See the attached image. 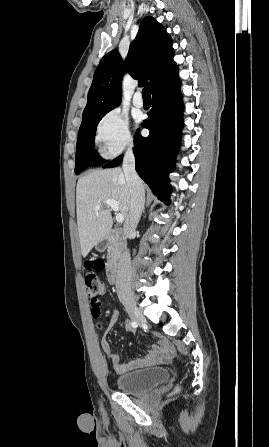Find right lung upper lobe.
Instances as JSON below:
<instances>
[{"mask_svg": "<svg viewBox=\"0 0 269 447\" xmlns=\"http://www.w3.org/2000/svg\"><path fill=\"white\" fill-rule=\"evenodd\" d=\"M172 39L153 17H145L138 34L130 44L123 62L115 49L100 61L88 93L81 127L88 125L115 108L121 101V82L125 72L139 79V86L154 85L177 69L173 60ZM150 79L149 83L146 80Z\"/></svg>", "mask_w": 269, "mask_h": 447, "instance_id": "1", "label": "right lung upper lobe"}]
</instances>
